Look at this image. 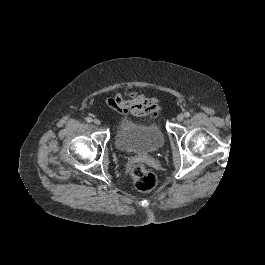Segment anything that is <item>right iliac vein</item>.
Here are the masks:
<instances>
[{
  "label": "right iliac vein",
  "instance_id": "63e3f726",
  "mask_svg": "<svg viewBox=\"0 0 265 265\" xmlns=\"http://www.w3.org/2000/svg\"><path fill=\"white\" fill-rule=\"evenodd\" d=\"M93 122L96 126H99L101 124V121L99 119H94Z\"/></svg>",
  "mask_w": 265,
  "mask_h": 265
}]
</instances>
